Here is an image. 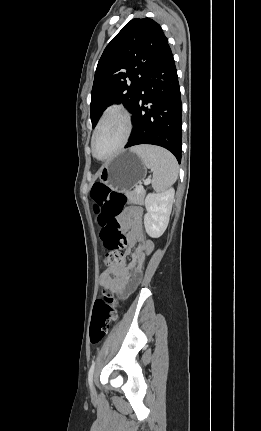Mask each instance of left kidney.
<instances>
[{"label": "left kidney", "mask_w": 261, "mask_h": 431, "mask_svg": "<svg viewBox=\"0 0 261 431\" xmlns=\"http://www.w3.org/2000/svg\"><path fill=\"white\" fill-rule=\"evenodd\" d=\"M174 190L162 193H150L145 199L147 213L144 216V226L152 238L160 237L167 228L172 210Z\"/></svg>", "instance_id": "left-kidney-1"}]
</instances>
